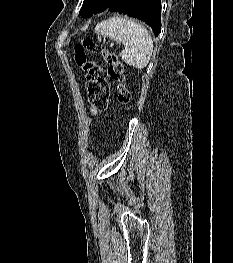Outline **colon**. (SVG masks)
Returning a JSON list of instances; mask_svg holds the SVG:
<instances>
[{"label":"colon","mask_w":233,"mask_h":263,"mask_svg":"<svg viewBox=\"0 0 233 263\" xmlns=\"http://www.w3.org/2000/svg\"><path fill=\"white\" fill-rule=\"evenodd\" d=\"M74 59L77 66L85 73L87 100L92 115H98L108 108L109 85L107 78L117 83V98L121 105L131 102V93L126 86L123 65L116 54L103 49L90 38H83L75 45ZM88 53L100 54L108 68L96 65L88 58Z\"/></svg>","instance_id":"1"}]
</instances>
